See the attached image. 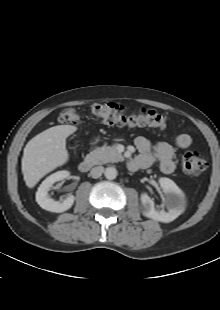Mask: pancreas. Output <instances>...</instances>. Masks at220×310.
Instances as JSON below:
<instances>
[{
    "label": "pancreas",
    "mask_w": 220,
    "mask_h": 310,
    "mask_svg": "<svg viewBox=\"0 0 220 310\" xmlns=\"http://www.w3.org/2000/svg\"><path fill=\"white\" fill-rule=\"evenodd\" d=\"M94 164H105L108 162H118L123 160V156L114 146L98 147L87 156Z\"/></svg>",
    "instance_id": "pancreas-1"
}]
</instances>
